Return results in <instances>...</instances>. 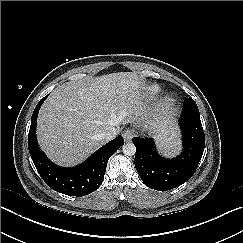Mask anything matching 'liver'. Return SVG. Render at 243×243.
I'll use <instances>...</instances> for the list:
<instances>
[{
	"label": "liver",
	"mask_w": 243,
	"mask_h": 243,
	"mask_svg": "<svg viewBox=\"0 0 243 243\" xmlns=\"http://www.w3.org/2000/svg\"><path fill=\"white\" fill-rule=\"evenodd\" d=\"M141 83L136 73L117 72L56 88L38 116L37 136L42 150L62 166L85 160L107 142L101 134L112 127L118 130L133 114L139 115L143 105ZM162 130L166 142L174 139L169 121L162 123Z\"/></svg>",
	"instance_id": "obj_1"
}]
</instances>
